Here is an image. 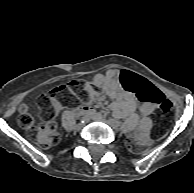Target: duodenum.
<instances>
[{"mask_svg": "<svg viewBox=\"0 0 194 193\" xmlns=\"http://www.w3.org/2000/svg\"><path fill=\"white\" fill-rule=\"evenodd\" d=\"M77 113H79L81 115L98 116V114L90 108L89 109H83V110H77Z\"/></svg>", "mask_w": 194, "mask_h": 193, "instance_id": "410a0bca", "label": "duodenum"}]
</instances>
